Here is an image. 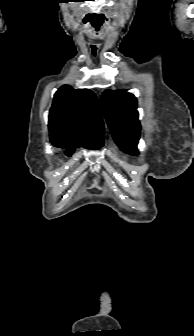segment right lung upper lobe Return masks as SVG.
I'll return each instance as SVG.
<instances>
[{
	"mask_svg": "<svg viewBox=\"0 0 194 336\" xmlns=\"http://www.w3.org/2000/svg\"><path fill=\"white\" fill-rule=\"evenodd\" d=\"M50 140L94 142L104 139V125L96 95L88 89L63 85L54 95L49 113Z\"/></svg>",
	"mask_w": 194,
	"mask_h": 336,
	"instance_id": "cb5924a9",
	"label": "right lung upper lobe"
}]
</instances>
